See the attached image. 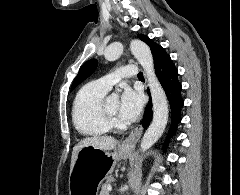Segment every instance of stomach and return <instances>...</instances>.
<instances>
[{
  "mask_svg": "<svg viewBox=\"0 0 240 195\" xmlns=\"http://www.w3.org/2000/svg\"><path fill=\"white\" fill-rule=\"evenodd\" d=\"M135 145H119L116 151H103L93 145L81 147L69 175V195H98L100 185L117 161L130 155Z\"/></svg>",
  "mask_w": 240,
  "mask_h": 195,
  "instance_id": "0dacf381",
  "label": "stomach"
}]
</instances>
